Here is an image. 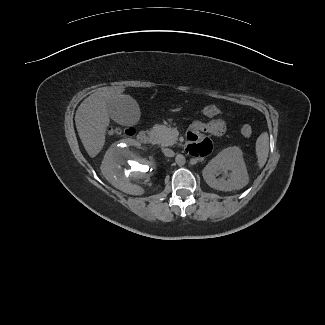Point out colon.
Returning a JSON list of instances; mask_svg holds the SVG:
<instances>
[{
	"label": "colon",
	"instance_id": "5ec220e1",
	"mask_svg": "<svg viewBox=\"0 0 325 325\" xmlns=\"http://www.w3.org/2000/svg\"><path fill=\"white\" fill-rule=\"evenodd\" d=\"M199 112L201 115L208 117V118L218 117V116L222 115V109L215 105L203 106L200 108ZM252 132H253L252 127L249 124H243L241 126V133L243 136L250 137L252 135ZM122 133H125L127 135H133L134 129L133 128L122 129L119 127L109 128V134H111V135H119Z\"/></svg>",
	"mask_w": 325,
	"mask_h": 325
}]
</instances>
